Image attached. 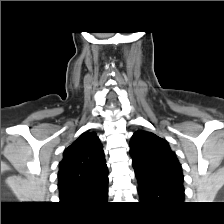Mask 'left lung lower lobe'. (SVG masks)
<instances>
[{"mask_svg":"<svg viewBox=\"0 0 224 224\" xmlns=\"http://www.w3.org/2000/svg\"><path fill=\"white\" fill-rule=\"evenodd\" d=\"M138 179V193L142 203L182 204L184 187L179 183L158 182L143 178L135 172Z\"/></svg>","mask_w":224,"mask_h":224,"instance_id":"obj_1","label":"left lung lower lobe"}]
</instances>
